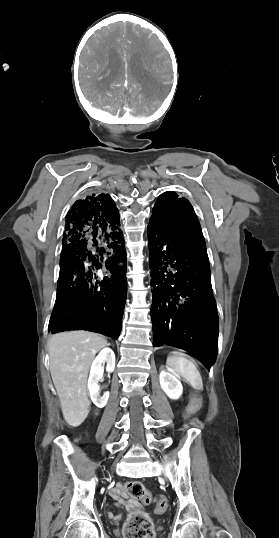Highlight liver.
I'll list each match as a JSON object with an SVG mask.
<instances>
[{
  "mask_svg": "<svg viewBox=\"0 0 279 538\" xmlns=\"http://www.w3.org/2000/svg\"><path fill=\"white\" fill-rule=\"evenodd\" d=\"M108 346L105 336L94 332H60L48 344L50 372L62 414L77 428L89 414L87 378L95 354Z\"/></svg>",
  "mask_w": 279,
  "mask_h": 538,
  "instance_id": "6515ba94",
  "label": "liver"
}]
</instances>
